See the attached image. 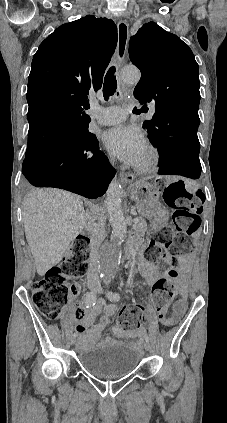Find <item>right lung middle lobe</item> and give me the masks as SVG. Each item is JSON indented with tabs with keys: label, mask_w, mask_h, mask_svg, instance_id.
Returning a JSON list of instances; mask_svg holds the SVG:
<instances>
[{
	"label": "right lung middle lobe",
	"mask_w": 227,
	"mask_h": 423,
	"mask_svg": "<svg viewBox=\"0 0 227 423\" xmlns=\"http://www.w3.org/2000/svg\"><path fill=\"white\" fill-rule=\"evenodd\" d=\"M96 137L93 134H88L84 137H82L81 139H78L77 141L73 142L71 147L72 148H80L83 147L84 145H86L89 141L91 140H95ZM25 156H29L27 154H25Z\"/></svg>",
	"instance_id": "right-lung-middle-lobe-1"
}]
</instances>
